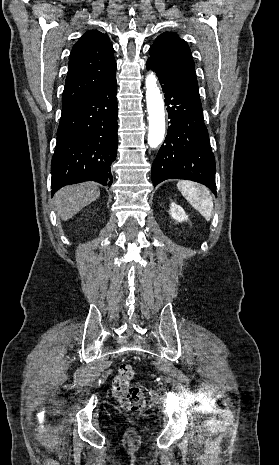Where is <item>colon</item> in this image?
Masks as SVG:
<instances>
[{"mask_svg": "<svg viewBox=\"0 0 279 465\" xmlns=\"http://www.w3.org/2000/svg\"><path fill=\"white\" fill-rule=\"evenodd\" d=\"M135 375L133 367L121 363L118 374L113 379V392L121 406L128 412L135 413L145 406V398L140 387L131 385Z\"/></svg>", "mask_w": 279, "mask_h": 465, "instance_id": "1", "label": "colon"}]
</instances>
